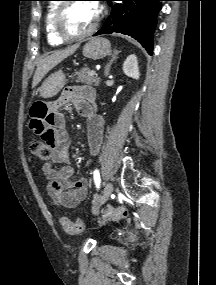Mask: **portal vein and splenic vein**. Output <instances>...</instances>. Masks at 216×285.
Listing matches in <instances>:
<instances>
[{"label": "portal vein and splenic vein", "mask_w": 216, "mask_h": 285, "mask_svg": "<svg viewBox=\"0 0 216 285\" xmlns=\"http://www.w3.org/2000/svg\"><path fill=\"white\" fill-rule=\"evenodd\" d=\"M89 76H93V75H96V71L92 70L88 73Z\"/></svg>", "instance_id": "obj_1"}]
</instances>
